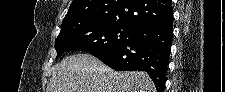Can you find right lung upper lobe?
<instances>
[{
  "label": "right lung upper lobe",
  "instance_id": "cb5924a9",
  "mask_svg": "<svg viewBox=\"0 0 225 92\" xmlns=\"http://www.w3.org/2000/svg\"><path fill=\"white\" fill-rule=\"evenodd\" d=\"M172 19L171 0H73L61 30L82 22H118L137 28Z\"/></svg>",
  "mask_w": 225,
  "mask_h": 92
}]
</instances>
